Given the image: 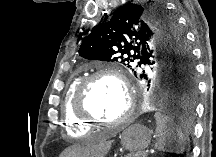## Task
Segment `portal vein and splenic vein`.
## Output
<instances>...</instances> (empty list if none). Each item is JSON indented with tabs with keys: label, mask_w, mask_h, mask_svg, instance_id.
Instances as JSON below:
<instances>
[{
	"label": "portal vein and splenic vein",
	"mask_w": 216,
	"mask_h": 157,
	"mask_svg": "<svg viewBox=\"0 0 216 157\" xmlns=\"http://www.w3.org/2000/svg\"><path fill=\"white\" fill-rule=\"evenodd\" d=\"M145 154H147L148 153V150H146V152H144Z\"/></svg>",
	"instance_id": "18ae733b"
}]
</instances>
